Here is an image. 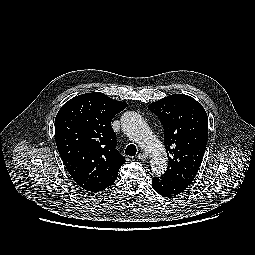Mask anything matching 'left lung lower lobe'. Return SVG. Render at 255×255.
Masks as SVG:
<instances>
[{
  "label": "left lung lower lobe",
  "instance_id": "left-lung-lower-lobe-1",
  "mask_svg": "<svg viewBox=\"0 0 255 255\" xmlns=\"http://www.w3.org/2000/svg\"><path fill=\"white\" fill-rule=\"evenodd\" d=\"M152 187L158 194L171 198L182 193L188 186L177 184L160 176L153 178Z\"/></svg>",
  "mask_w": 255,
  "mask_h": 255
}]
</instances>
